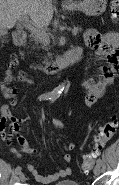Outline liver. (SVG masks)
Here are the masks:
<instances>
[{"label": "liver", "instance_id": "obj_1", "mask_svg": "<svg viewBox=\"0 0 119 185\" xmlns=\"http://www.w3.org/2000/svg\"><path fill=\"white\" fill-rule=\"evenodd\" d=\"M29 15L35 27H47L53 17L51 0H0V29H11Z\"/></svg>", "mask_w": 119, "mask_h": 185}]
</instances>
